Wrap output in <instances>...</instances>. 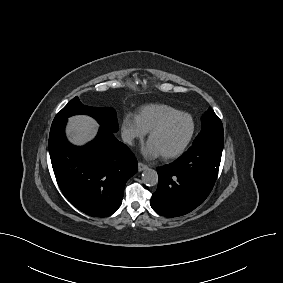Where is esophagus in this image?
<instances>
[{"label":"esophagus","instance_id":"obj_1","mask_svg":"<svg viewBox=\"0 0 283 283\" xmlns=\"http://www.w3.org/2000/svg\"><path fill=\"white\" fill-rule=\"evenodd\" d=\"M147 168H148V166L146 164H143L141 162L138 163V170L139 171L146 170Z\"/></svg>","mask_w":283,"mask_h":283}]
</instances>
